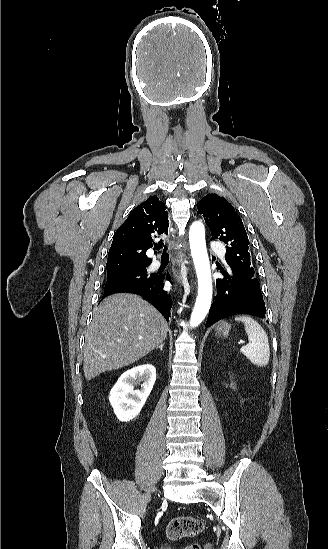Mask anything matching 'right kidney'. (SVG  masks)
Masks as SVG:
<instances>
[{
    "label": "right kidney",
    "mask_w": 328,
    "mask_h": 549,
    "mask_svg": "<svg viewBox=\"0 0 328 549\" xmlns=\"http://www.w3.org/2000/svg\"><path fill=\"white\" fill-rule=\"evenodd\" d=\"M144 381L141 391H134V385ZM156 381L153 365H139L125 371L110 391L109 401L119 421H131L139 415Z\"/></svg>",
    "instance_id": "ca27d5eb"
}]
</instances>
